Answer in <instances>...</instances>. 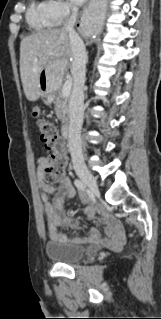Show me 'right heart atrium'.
Here are the masks:
<instances>
[{
	"instance_id": "right-heart-atrium-1",
	"label": "right heart atrium",
	"mask_w": 161,
	"mask_h": 319,
	"mask_svg": "<svg viewBox=\"0 0 161 319\" xmlns=\"http://www.w3.org/2000/svg\"><path fill=\"white\" fill-rule=\"evenodd\" d=\"M49 4L55 17L56 25H60L73 11V7L64 0H50Z\"/></svg>"
}]
</instances>
